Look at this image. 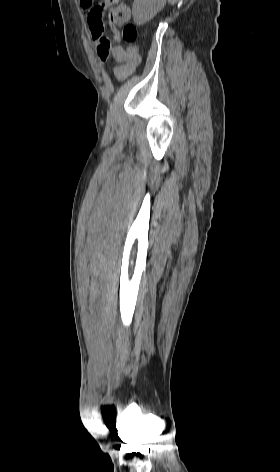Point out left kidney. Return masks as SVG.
<instances>
[{
	"mask_svg": "<svg viewBox=\"0 0 280 472\" xmlns=\"http://www.w3.org/2000/svg\"><path fill=\"white\" fill-rule=\"evenodd\" d=\"M161 0H134L132 14L137 25L151 20L161 9Z\"/></svg>",
	"mask_w": 280,
	"mask_h": 472,
	"instance_id": "5707ae66",
	"label": "left kidney"
}]
</instances>
